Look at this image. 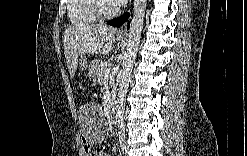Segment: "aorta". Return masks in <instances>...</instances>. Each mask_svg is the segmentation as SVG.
I'll use <instances>...</instances> for the list:
<instances>
[{"instance_id":"1","label":"aorta","mask_w":247,"mask_h":156,"mask_svg":"<svg viewBox=\"0 0 247 156\" xmlns=\"http://www.w3.org/2000/svg\"><path fill=\"white\" fill-rule=\"evenodd\" d=\"M146 5L147 0H134L133 2V19L129 30L127 54L120 72L118 97L116 100V122L120 126L123 125L124 121L126 94L129 87L132 66L136 59V54L140 43Z\"/></svg>"}]
</instances>
